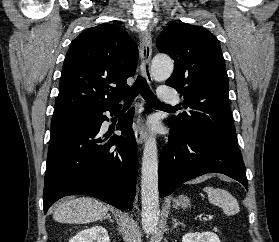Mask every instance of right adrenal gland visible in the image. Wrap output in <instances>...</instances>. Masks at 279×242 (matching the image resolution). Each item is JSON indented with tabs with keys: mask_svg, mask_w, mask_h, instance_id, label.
<instances>
[{
	"mask_svg": "<svg viewBox=\"0 0 279 242\" xmlns=\"http://www.w3.org/2000/svg\"><path fill=\"white\" fill-rule=\"evenodd\" d=\"M104 219H109L110 222H114L113 219L111 218L110 214H107L106 217Z\"/></svg>",
	"mask_w": 279,
	"mask_h": 242,
	"instance_id": "obj_1",
	"label": "right adrenal gland"
}]
</instances>
